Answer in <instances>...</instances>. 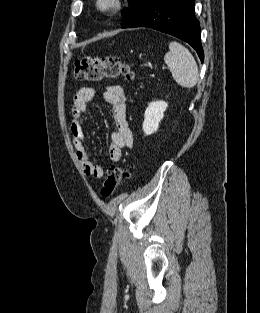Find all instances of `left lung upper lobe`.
<instances>
[{
  "label": "left lung upper lobe",
  "mask_w": 260,
  "mask_h": 313,
  "mask_svg": "<svg viewBox=\"0 0 260 313\" xmlns=\"http://www.w3.org/2000/svg\"><path fill=\"white\" fill-rule=\"evenodd\" d=\"M130 8L122 12V28L126 27L150 2L151 0H128Z\"/></svg>",
  "instance_id": "5c2ea615"
}]
</instances>
